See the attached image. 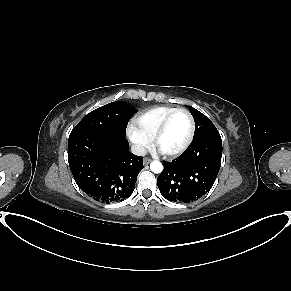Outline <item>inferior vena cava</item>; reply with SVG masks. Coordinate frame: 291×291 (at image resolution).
Instances as JSON below:
<instances>
[{"label": "inferior vena cava", "instance_id": "1", "mask_svg": "<svg viewBox=\"0 0 291 291\" xmlns=\"http://www.w3.org/2000/svg\"><path fill=\"white\" fill-rule=\"evenodd\" d=\"M131 152L137 156L146 155V149L142 145H132Z\"/></svg>", "mask_w": 291, "mask_h": 291}]
</instances>
